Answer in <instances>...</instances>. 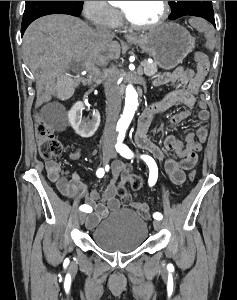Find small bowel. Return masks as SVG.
<instances>
[{"label": "small bowel", "mask_w": 237, "mask_h": 300, "mask_svg": "<svg viewBox=\"0 0 237 300\" xmlns=\"http://www.w3.org/2000/svg\"><path fill=\"white\" fill-rule=\"evenodd\" d=\"M209 64L206 66L197 65L196 70L185 66L176 68L173 72L162 73L156 76L155 85L178 84L187 87L176 88L167 93L161 100L153 103L146 108L139 116L137 128L134 135L136 145L150 153L157 160L164 161V171L172 185L182 184L185 180V171L192 169L198 159L197 153L202 149L206 142L208 130L205 125H200L196 134L190 133L186 136L185 143L172 135H167L163 139V147H159L148 138V132L153 122L154 116L166 111L177 104H184L186 109L175 114L170 119L171 124H177L186 120L190 116V109L196 104V96L200 92L208 74ZM199 119L206 122L209 119V111L204 102L199 103ZM169 152L166 155L165 151ZM81 155V150L70 152L72 159H77ZM126 170V166L121 162H116L112 166L111 177L102 192L100 201V191L97 188L88 190L86 184L77 173H72L66 177L60 165L56 161L46 163L47 176L53 182L59 192L71 199H83L92 208L86 226L93 228L110 211H116L123 205H131L133 208L147 215L148 205L145 203L132 202L129 196L120 200L117 197V186L121 174Z\"/></svg>", "instance_id": "c3829d8e"}]
</instances>
